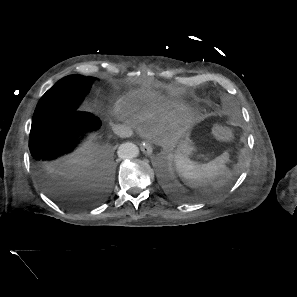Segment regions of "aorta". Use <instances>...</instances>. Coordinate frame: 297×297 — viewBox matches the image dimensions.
<instances>
[{
    "label": "aorta",
    "instance_id": "obj_1",
    "mask_svg": "<svg viewBox=\"0 0 297 297\" xmlns=\"http://www.w3.org/2000/svg\"><path fill=\"white\" fill-rule=\"evenodd\" d=\"M117 153L121 159H132L138 156L139 149L134 143L126 142L120 145Z\"/></svg>",
    "mask_w": 297,
    "mask_h": 297
}]
</instances>
